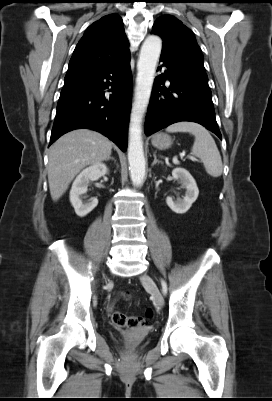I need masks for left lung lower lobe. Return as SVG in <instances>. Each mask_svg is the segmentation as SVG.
<instances>
[{
    "label": "left lung lower lobe",
    "mask_w": 272,
    "mask_h": 401,
    "mask_svg": "<svg viewBox=\"0 0 272 401\" xmlns=\"http://www.w3.org/2000/svg\"><path fill=\"white\" fill-rule=\"evenodd\" d=\"M160 61L166 70L155 78L144 127L146 135L176 122L192 121L222 139L206 72L163 54ZM166 79L170 81L168 89L164 86Z\"/></svg>",
    "instance_id": "1"
}]
</instances>
